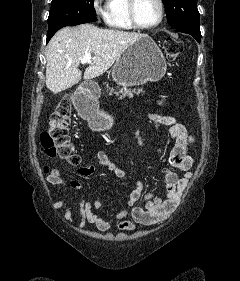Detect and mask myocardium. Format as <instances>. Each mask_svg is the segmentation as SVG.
Returning <instances> with one entry per match:
<instances>
[{
  "mask_svg": "<svg viewBox=\"0 0 240 281\" xmlns=\"http://www.w3.org/2000/svg\"><path fill=\"white\" fill-rule=\"evenodd\" d=\"M137 2L138 0H128V14H129V19L134 26V28L141 29V30H151L154 28H157L158 26L161 25V23L164 20L165 16V4L163 0H157V3L159 5V18L158 20L151 25H143L139 22L137 18V12H136V7H137Z\"/></svg>",
  "mask_w": 240,
  "mask_h": 281,
  "instance_id": "f54148a6",
  "label": "myocardium"
}]
</instances>
